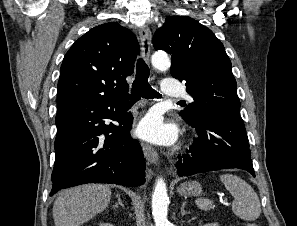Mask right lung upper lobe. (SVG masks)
Returning a JSON list of instances; mask_svg holds the SVG:
<instances>
[{
	"mask_svg": "<svg viewBox=\"0 0 297 226\" xmlns=\"http://www.w3.org/2000/svg\"><path fill=\"white\" fill-rule=\"evenodd\" d=\"M140 47L136 36L118 23L96 26L66 53L58 82L57 107L104 97L123 99Z\"/></svg>",
	"mask_w": 297,
	"mask_h": 226,
	"instance_id": "cb5924a9",
	"label": "right lung upper lobe"
}]
</instances>
